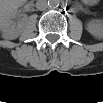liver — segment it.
I'll list each match as a JSON object with an SVG mask.
<instances>
[{
    "label": "liver",
    "instance_id": "1",
    "mask_svg": "<svg viewBox=\"0 0 103 103\" xmlns=\"http://www.w3.org/2000/svg\"><path fill=\"white\" fill-rule=\"evenodd\" d=\"M21 1H7L3 5L4 7H7L8 9H16L17 7L21 6Z\"/></svg>",
    "mask_w": 103,
    "mask_h": 103
}]
</instances>
